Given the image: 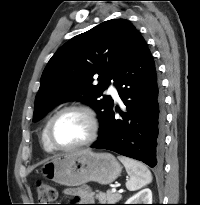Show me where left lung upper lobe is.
<instances>
[{
	"label": "left lung upper lobe",
	"mask_w": 200,
	"mask_h": 205,
	"mask_svg": "<svg viewBox=\"0 0 200 205\" xmlns=\"http://www.w3.org/2000/svg\"><path fill=\"white\" fill-rule=\"evenodd\" d=\"M137 34L129 21L112 19L60 47L43 71L33 121L61 102L79 100L97 112L102 126L114 105L110 96H103V91L115 79ZM96 79L98 84H94Z\"/></svg>",
	"instance_id": "obj_1"
}]
</instances>
